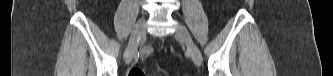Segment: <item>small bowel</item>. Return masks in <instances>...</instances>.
I'll return each mask as SVG.
<instances>
[{
	"label": "small bowel",
	"instance_id": "small-bowel-1",
	"mask_svg": "<svg viewBox=\"0 0 333 76\" xmlns=\"http://www.w3.org/2000/svg\"><path fill=\"white\" fill-rule=\"evenodd\" d=\"M150 51H151L150 48H146V49H145V53H149Z\"/></svg>",
	"mask_w": 333,
	"mask_h": 76
}]
</instances>
